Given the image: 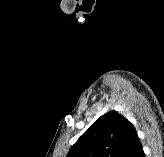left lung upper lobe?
<instances>
[{"label":"left lung upper lobe","mask_w":164,"mask_h":157,"mask_svg":"<svg viewBox=\"0 0 164 157\" xmlns=\"http://www.w3.org/2000/svg\"><path fill=\"white\" fill-rule=\"evenodd\" d=\"M135 134V128L126 118L110 111L87 129L67 157H121Z\"/></svg>","instance_id":"obj_1"}]
</instances>
